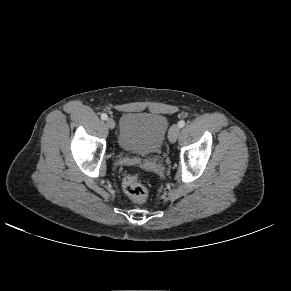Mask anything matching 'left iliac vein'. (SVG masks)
<instances>
[{"mask_svg": "<svg viewBox=\"0 0 291 291\" xmlns=\"http://www.w3.org/2000/svg\"><path fill=\"white\" fill-rule=\"evenodd\" d=\"M179 132H180V128L178 125L171 126V128L169 130V136H168L169 141L171 143H174L177 140V138L179 136Z\"/></svg>", "mask_w": 291, "mask_h": 291, "instance_id": "1", "label": "left iliac vein"}]
</instances>
